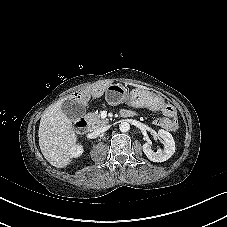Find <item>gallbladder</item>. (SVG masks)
Wrapping results in <instances>:
<instances>
[{
  "instance_id": "gallbladder-1",
  "label": "gallbladder",
  "mask_w": 227,
  "mask_h": 227,
  "mask_svg": "<svg viewBox=\"0 0 227 227\" xmlns=\"http://www.w3.org/2000/svg\"><path fill=\"white\" fill-rule=\"evenodd\" d=\"M62 111L72 121L83 116L85 114V105L77 103L73 100H65L62 103Z\"/></svg>"
}]
</instances>
